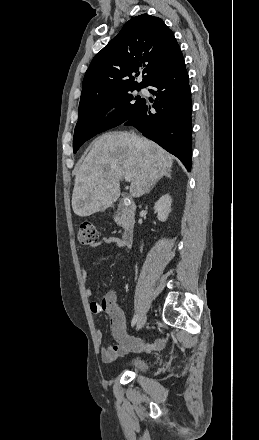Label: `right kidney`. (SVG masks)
I'll list each match as a JSON object with an SVG mask.
<instances>
[{
  "label": "right kidney",
  "instance_id": "right-kidney-1",
  "mask_svg": "<svg viewBox=\"0 0 259 440\" xmlns=\"http://www.w3.org/2000/svg\"><path fill=\"white\" fill-rule=\"evenodd\" d=\"M171 197L169 194L163 195L154 205V210L157 213V218L161 222L168 219L171 212Z\"/></svg>",
  "mask_w": 259,
  "mask_h": 440
}]
</instances>
